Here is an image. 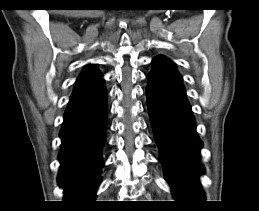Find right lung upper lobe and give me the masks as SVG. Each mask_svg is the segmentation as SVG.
<instances>
[{"label":"right lung upper lobe","mask_w":259,"mask_h":211,"mask_svg":"<svg viewBox=\"0 0 259 211\" xmlns=\"http://www.w3.org/2000/svg\"><path fill=\"white\" fill-rule=\"evenodd\" d=\"M103 80L101 74L93 66H86L76 81L72 97L84 94L96 87Z\"/></svg>","instance_id":"right-lung-upper-lobe-1"}]
</instances>
